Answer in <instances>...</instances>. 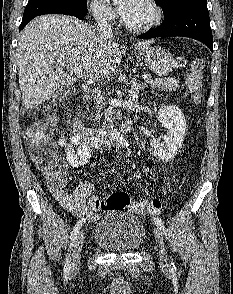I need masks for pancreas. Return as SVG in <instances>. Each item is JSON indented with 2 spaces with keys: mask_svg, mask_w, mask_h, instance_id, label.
Returning a JSON list of instances; mask_svg holds the SVG:
<instances>
[{
  "mask_svg": "<svg viewBox=\"0 0 233 294\" xmlns=\"http://www.w3.org/2000/svg\"><path fill=\"white\" fill-rule=\"evenodd\" d=\"M151 87L153 88H159V89H164L166 91H172L176 90L177 88L180 87L179 81L177 79H162V78H157V79H150L148 81Z\"/></svg>",
  "mask_w": 233,
  "mask_h": 294,
  "instance_id": "1",
  "label": "pancreas"
}]
</instances>
